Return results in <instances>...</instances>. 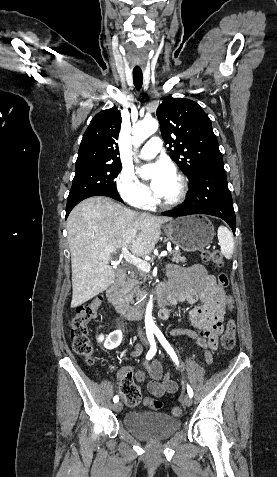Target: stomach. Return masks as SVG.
I'll return each instance as SVG.
<instances>
[{
  "instance_id": "1",
  "label": "stomach",
  "mask_w": 277,
  "mask_h": 477,
  "mask_svg": "<svg viewBox=\"0 0 277 477\" xmlns=\"http://www.w3.org/2000/svg\"><path fill=\"white\" fill-rule=\"evenodd\" d=\"M164 231L171 242L186 252L204 249L215 235L211 221L203 216L173 219L164 227Z\"/></svg>"
}]
</instances>
